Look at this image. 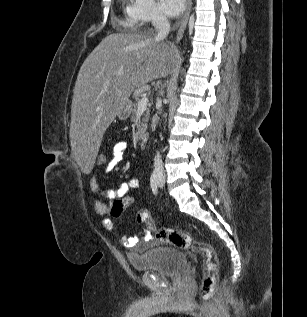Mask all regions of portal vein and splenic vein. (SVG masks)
Masks as SVG:
<instances>
[{"instance_id": "portal-vein-and-splenic-vein-1", "label": "portal vein and splenic vein", "mask_w": 307, "mask_h": 317, "mask_svg": "<svg viewBox=\"0 0 307 317\" xmlns=\"http://www.w3.org/2000/svg\"><path fill=\"white\" fill-rule=\"evenodd\" d=\"M148 104V97L142 96V98L138 101L137 110L138 112L144 111Z\"/></svg>"}]
</instances>
